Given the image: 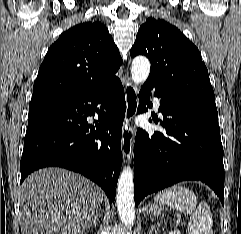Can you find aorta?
Masks as SVG:
<instances>
[{
    "mask_svg": "<svg viewBox=\"0 0 241 234\" xmlns=\"http://www.w3.org/2000/svg\"><path fill=\"white\" fill-rule=\"evenodd\" d=\"M150 73V62L144 56H137L132 61L131 78L135 84L144 83ZM133 171L128 166L120 174L117 185V210L121 222L131 226L135 220V204L133 191Z\"/></svg>",
    "mask_w": 241,
    "mask_h": 234,
    "instance_id": "1",
    "label": "aorta"
}]
</instances>
